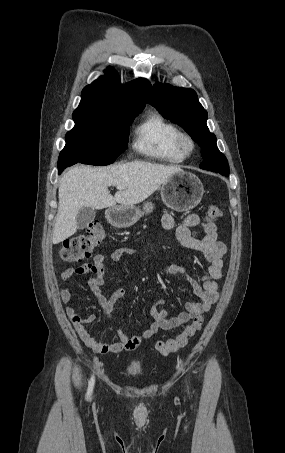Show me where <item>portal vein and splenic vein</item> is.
<instances>
[{"instance_id": "18ae733b", "label": "portal vein and splenic vein", "mask_w": 285, "mask_h": 453, "mask_svg": "<svg viewBox=\"0 0 285 453\" xmlns=\"http://www.w3.org/2000/svg\"><path fill=\"white\" fill-rule=\"evenodd\" d=\"M117 189L121 190V189H123V188H122V187H120V186H117Z\"/></svg>"}]
</instances>
